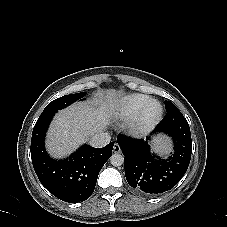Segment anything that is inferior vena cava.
<instances>
[{"mask_svg": "<svg viewBox=\"0 0 227 227\" xmlns=\"http://www.w3.org/2000/svg\"><path fill=\"white\" fill-rule=\"evenodd\" d=\"M111 136L107 132H100L93 135L89 141L90 145L95 148H101L110 143Z\"/></svg>", "mask_w": 227, "mask_h": 227, "instance_id": "inferior-vena-cava-1", "label": "inferior vena cava"}]
</instances>
